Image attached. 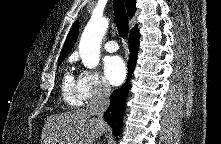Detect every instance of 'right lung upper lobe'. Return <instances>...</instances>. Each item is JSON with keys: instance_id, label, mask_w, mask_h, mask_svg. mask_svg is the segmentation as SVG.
I'll return each mask as SVG.
<instances>
[{"instance_id": "right-lung-upper-lobe-1", "label": "right lung upper lobe", "mask_w": 221, "mask_h": 144, "mask_svg": "<svg viewBox=\"0 0 221 144\" xmlns=\"http://www.w3.org/2000/svg\"><path fill=\"white\" fill-rule=\"evenodd\" d=\"M125 3H126V8H127V12H128V15L130 17H132L136 11V7H135V0H125ZM138 30L137 29V26H135L131 32H134ZM78 32H79V25H78V22H75L67 36V39L65 41V44L63 46V49L60 53V56H59V59H58V62H62L64 60V58L68 55V53L70 52V50L72 49L76 39H77V36H78Z\"/></svg>"}]
</instances>
